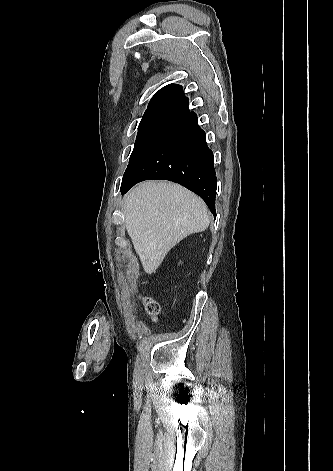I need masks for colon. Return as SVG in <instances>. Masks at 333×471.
Masks as SVG:
<instances>
[{
	"label": "colon",
	"mask_w": 333,
	"mask_h": 471,
	"mask_svg": "<svg viewBox=\"0 0 333 471\" xmlns=\"http://www.w3.org/2000/svg\"><path fill=\"white\" fill-rule=\"evenodd\" d=\"M143 305L146 313L152 318L156 319L160 312L159 305L152 299L145 298L143 299Z\"/></svg>",
	"instance_id": "obj_1"
}]
</instances>
